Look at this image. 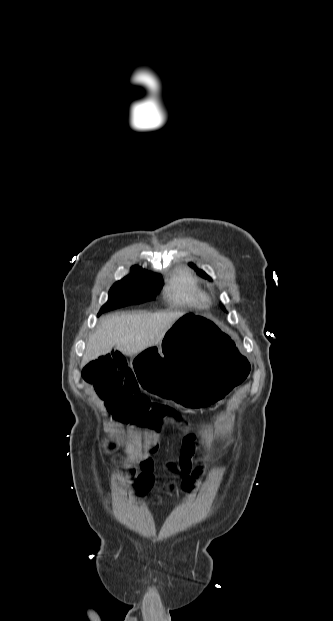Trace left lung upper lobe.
Returning a JSON list of instances; mask_svg holds the SVG:
<instances>
[{"mask_svg":"<svg viewBox=\"0 0 333 621\" xmlns=\"http://www.w3.org/2000/svg\"><path fill=\"white\" fill-rule=\"evenodd\" d=\"M190 266H191V267H193V268H195V270L197 271V273H198L201 277L206 278V279H208V280H212V279H211V278H210V277H209V276H208V275H207V274H206L203 270L197 269V268H196V266H195V264L190 263ZM222 308H223V310H225L224 306H222Z\"/></svg>","mask_w":333,"mask_h":621,"instance_id":"obj_1","label":"left lung upper lobe"}]
</instances>
